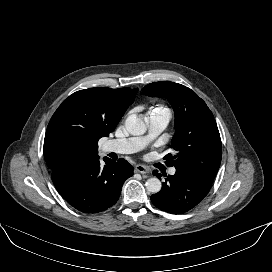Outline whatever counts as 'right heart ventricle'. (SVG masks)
<instances>
[{"label":"right heart ventricle","instance_id":"obj_1","mask_svg":"<svg viewBox=\"0 0 272 272\" xmlns=\"http://www.w3.org/2000/svg\"><path fill=\"white\" fill-rule=\"evenodd\" d=\"M156 111H163V112H168V109L164 107L163 105H156L155 107H152L149 109L148 114Z\"/></svg>","mask_w":272,"mask_h":272}]
</instances>
